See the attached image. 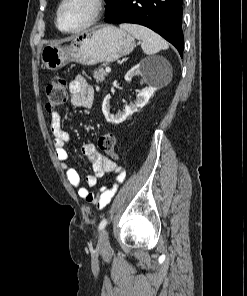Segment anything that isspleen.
I'll return each mask as SVG.
<instances>
[{
  "label": "spleen",
  "instance_id": "obj_1",
  "mask_svg": "<svg viewBox=\"0 0 247 296\" xmlns=\"http://www.w3.org/2000/svg\"><path fill=\"white\" fill-rule=\"evenodd\" d=\"M120 28L129 32L133 37L142 41V49L145 54L153 55L160 50L168 49V43L151 29L137 24H121Z\"/></svg>",
  "mask_w": 247,
  "mask_h": 296
}]
</instances>
